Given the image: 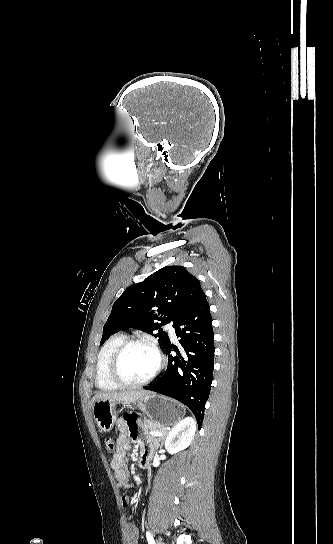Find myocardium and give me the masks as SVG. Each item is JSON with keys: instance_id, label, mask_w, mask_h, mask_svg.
<instances>
[{"instance_id": "myocardium-1", "label": "myocardium", "mask_w": 333, "mask_h": 544, "mask_svg": "<svg viewBox=\"0 0 333 544\" xmlns=\"http://www.w3.org/2000/svg\"><path fill=\"white\" fill-rule=\"evenodd\" d=\"M135 345H143L148 347L153 351V353L156 356L157 364L153 372L148 376L146 379L137 381V382H130L125 380L121 373H120V362L125 354V352L132 346ZM165 365V358L160 350V348L157 346L155 342L152 340L146 339V338H132L125 340L122 344L118 346V348L114 351L108 367V374L110 379L116 383L117 385L121 387H127V388H137L145 386L149 383H151L162 371L163 367Z\"/></svg>"}]
</instances>
